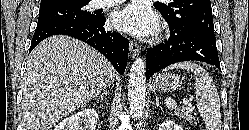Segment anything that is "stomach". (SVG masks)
Segmentation results:
<instances>
[{"label": "stomach", "mask_w": 249, "mask_h": 130, "mask_svg": "<svg viewBox=\"0 0 249 130\" xmlns=\"http://www.w3.org/2000/svg\"><path fill=\"white\" fill-rule=\"evenodd\" d=\"M182 85V80L179 75L164 72L157 74L152 80V87L158 91H174Z\"/></svg>", "instance_id": "1"}]
</instances>
